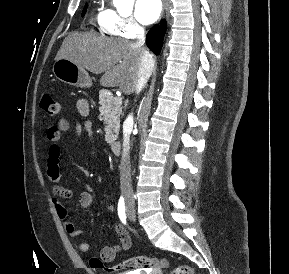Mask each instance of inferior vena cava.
<instances>
[{
	"instance_id": "1",
	"label": "inferior vena cava",
	"mask_w": 289,
	"mask_h": 274,
	"mask_svg": "<svg viewBox=\"0 0 289 274\" xmlns=\"http://www.w3.org/2000/svg\"><path fill=\"white\" fill-rule=\"evenodd\" d=\"M145 43V31L142 27L138 30L136 45L141 47ZM154 67L152 55L144 49V54L141 59L140 68L138 71V79L136 82V92L139 93L147 83L148 78ZM133 128V116L129 115L123 124V151L120 162V189L124 195L132 193L131 185V165L129 156L130 134Z\"/></svg>"
}]
</instances>
